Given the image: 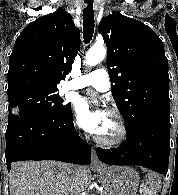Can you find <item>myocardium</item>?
Segmentation results:
<instances>
[{"mask_svg":"<svg viewBox=\"0 0 178 195\" xmlns=\"http://www.w3.org/2000/svg\"><path fill=\"white\" fill-rule=\"evenodd\" d=\"M108 114L113 117L116 122L118 128L117 135L112 139H103L97 135L95 136V141L105 147H116L125 142L128 136V129L123 118L117 111L109 110Z\"/></svg>","mask_w":178,"mask_h":195,"instance_id":"1","label":"myocardium"}]
</instances>
